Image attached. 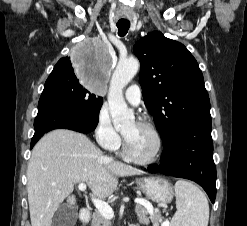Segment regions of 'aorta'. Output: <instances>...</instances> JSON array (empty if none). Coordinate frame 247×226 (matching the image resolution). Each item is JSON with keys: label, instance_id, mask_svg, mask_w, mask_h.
I'll use <instances>...</instances> for the list:
<instances>
[{"label": "aorta", "instance_id": "obj_1", "mask_svg": "<svg viewBox=\"0 0 247 226\" xmlns=\"http://www.w3.org/2000/svg\"><path fill=\"white\" fill-rule=\"evenodd\" d=\"M140 67L136 59L119 61L110 81L108 92L109 110L116 129L129 125L134 119L132 110L127 107L123 97V89L136 75Z\"/></svg>", "mask_w": 247, "mask_h": 226}]
</instances>
